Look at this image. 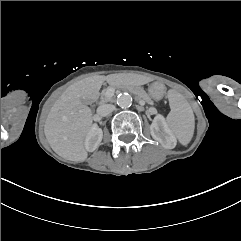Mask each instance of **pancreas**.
<instances>
[{
    "label": "pancreas",
    "mask_w": 241,
    "mask_h": 241,
    "mask_svg": "<svg viewBox=\"0 0 241 241\" xmlns=\"http://www.w3.org/2000/svg\"><path fill=\"white\" fill-rule=\"evenodd\" d=\"M139 90H142V89L141 88L134 89V94H136V96L143 97V99H146V101H148V104H153V99H151V96H148V93H145L144 91H139ZM100 99H101V103H107V102H111L113 100V97H109L106 94V89H105L102 91Z\"/></svg>",
    "instance_id": "cf45deb5"
}]
</instances>
